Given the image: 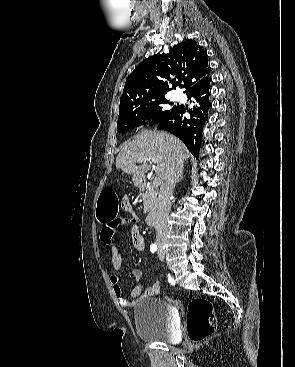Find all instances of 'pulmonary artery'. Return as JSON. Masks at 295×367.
<instances>
[{"instance_id":"obj_1","label":"pulmonary artery","mask_w":295,"mask_h":367,"mask_svg":"<svg viewBox=\"0 0 295 367\" xmlns=\"http://www.w3.org/2000/svg\"><path fill=\"white\" fill-rule=\"evenodd\" d=\"M175 98H176L177 100H181V99H182V95H180V94H176V95H175Z\"/></svg>"}]
</instances>
